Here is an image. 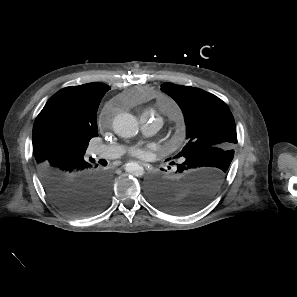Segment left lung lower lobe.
Here are the masks:
<instances>
[{"mask_svg":"<svg viewBox=\"0 0 297 297\" xmlns=\"http://www.w3.org/2000/svg\"><path fill=\"white\" fill-rule=\"evenodd\" d=\"M187 167L178 164L175 177L150 181L148 193L154 205L171 213L189 214L214 197L224 181L223 176L216 171L188 170Z\"/></svg>","mask_w":297,"mask_h":297,"instance_id":"0a47b994","label":"left lung lower lobe"}]
</instances>
